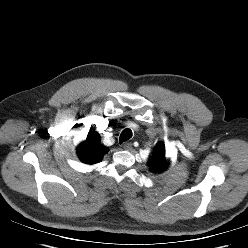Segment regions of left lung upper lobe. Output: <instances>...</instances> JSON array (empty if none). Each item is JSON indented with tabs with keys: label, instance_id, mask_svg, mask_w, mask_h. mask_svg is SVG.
Segmentation results:
<instances>
[{
	"label": "left lung upper lobe",
	"instance_id": "1",
	"mask_svg": "<svg viewBox=\"0 0 248 248\" xmlns=\"http://www.w3.org/2000/svg\"><path fill=\"white\" fill-rule=\"evenodd\" d=\"M169 165V161L165 157L164 146L162 143L157 144L153 151V161L148 163L152 172L160 173Z\"/></svg>",
	"mask_w": 248,
	"mask_h": 248
}]
</instances>
